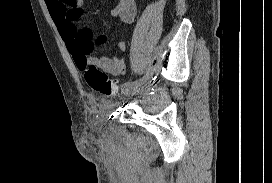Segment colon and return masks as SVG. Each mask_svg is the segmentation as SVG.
<instances>
[{"label":"colon","instance_id":"obj_1","mask_svg":"<svg viewBox=\"0 0 272 183\" xmlns=\"http://www.w3.org/2000/svg\"><path fill=\"white\" fill-rule=\"evenodd\" d=\"M85 80L93 91L103 96H112L118 91L109 76L95 67L90 66L85 70Z\"/></svg>","mask_w":272,"mask_h":183}]
</instances>
